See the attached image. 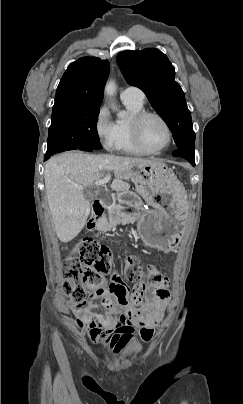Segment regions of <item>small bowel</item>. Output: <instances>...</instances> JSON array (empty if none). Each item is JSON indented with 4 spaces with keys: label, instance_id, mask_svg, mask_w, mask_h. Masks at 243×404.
Masks as SVG:
<instances>
[{
    "label": "small bowel",
    "instance_id": "1",
    "mask_svg": "<svg viewBox=\"0 0 243 404\" xmlns=\"http://www.w3.org/2000/svg\"><path fill=\"white\" fill-rule=\"evenodd\" d=\"M99 280L100 284L91 287L92 291L85 300L72 305L74 326L84 329L92 341L102 342L114 355L133 341L136 329L143 340L150 341L169 300L168 280L139 284L134 291L143 292L144 302L138 307L123 310L117 307L127 305L128 288L125 284L118 276H114L110 282L102 278ZM95 305L107 313H95L92 310Z\"/></svg>",
    "mask_w": 243,
    "mask_h": 404
}]
</instances>
